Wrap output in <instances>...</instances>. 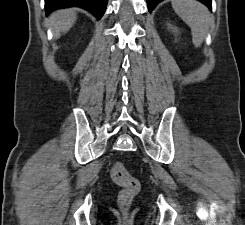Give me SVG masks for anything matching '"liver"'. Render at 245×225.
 I'll return each mask as SVG.
<instances>
[{
  "mask_svg": "<svg viewBox=\"0 0 245 225\" xmlns=\"http://www.w3.org/2000/svg\"><path fill=\"white\" fill-rule=\"evenodd\" d=\"M77 19L72 9L58 10L49 17L50 24L55 34L66 33L74 25Z\"/></svg>",
  "mask_w": 245,
  "mask_h": 225,
  "instance_id": "liver-1",
  "label": "liver"
}]
</instances>
